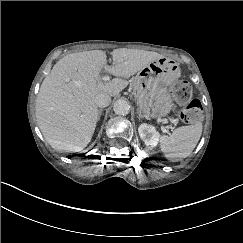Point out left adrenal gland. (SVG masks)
Here are the masks:
<instances>
[{"label": "left adrenal gland", "mask_w": 243, "mask_h": 243, "mask_svg": "<svg viewBox=\"0 0 243 243\" xmlns=\"http://www.w3.org/2000/svg\"><path fill=\"white\" fill-rule=\"evenodd\" d=\"M137 113H138L139 119H142L143 118V115L141 113V110L138 109Z\"/></svg>", "instance_id": "left-adrenal-gland-1"}]
</instances>
